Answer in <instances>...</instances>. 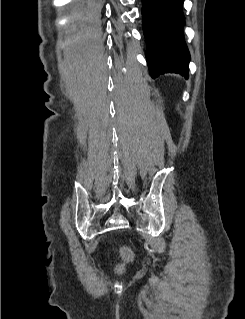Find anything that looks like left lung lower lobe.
Returning a JSON list of instances; mask_svg holds the SVG:
<instances>
[{
	"mask_svg": "<svg viewBox=\"0 0 245 319\" xmlns=\"http://www.w3.org/2000/svg\"><path fill=\"white\" fill-rule=\"evenodd\" d=\"M184 0H142L146 60L155 78L167 72L187 77L190 55L184 41Z\"/></svg>",
	"mask_w": 245,
	"mask_h": 319,
	"instance_id": "0a47b994",
	"label": "left lung lower lobe"
}]
</instances>
